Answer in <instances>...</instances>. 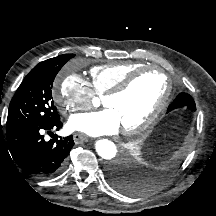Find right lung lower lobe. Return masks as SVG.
Segmentation results:
<instances>
[{
	"label": "right lung lower lobe",
	"instance_id": "right-lung-lower-lobe-1",
	"mask_svg": "<svg viewBox=\"0 0 216 216\" xmlns=\"http://www.w3.org/2000/svg\"><path fill=\"white\" fill-rule=\"evenodd\" d=\"M62 125L59 118L48 124L14 128L6 131L4 136L2 132V143L7 145L14 162L21 169L41 179L51 178L65 167L74 141L72 135L65 138L55 136L45 141L43 134L59 130Z\"/></svg>",
	"mask_w": 216,
	"mask_h": 216
}]
</instances>
